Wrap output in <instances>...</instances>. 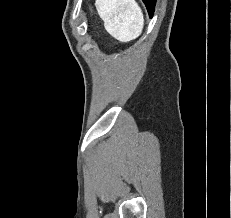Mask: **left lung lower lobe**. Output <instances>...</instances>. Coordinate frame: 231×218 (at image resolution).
Listing matches in <instances>:
<instances>
[{"label":"left lung lower lobe","instance_id":"1","mask_svg":"<svg viewBox=\"0 0 231 218\" xmlns=\"http://www.w3.org/2000/svg\"><path fill=\"white\" fill-rule=\"evenodd\" d=\"M143 2L145 3V5L147 7V10H148L150 17H152V15L154 13L156 0H143Z\"/></svg>","mask_w":231,"mask_h":218}]
</instances>
